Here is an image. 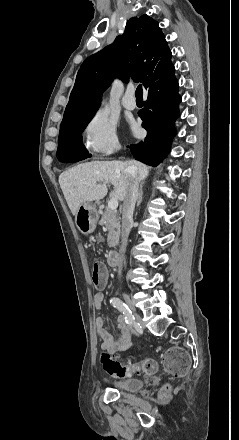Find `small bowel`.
Returning a JSON list of instances; mask_svg holds the SVG:
<instances>
[{
    "label": "small bowel",
    "mask_w": 239,
    "mask_h": 440,
    "mask_svg": "<svg viewBox=\"0 0 239 440\" xmlns=\"http://www.w3.org/2000/svg\"><path fill=\"white\" fill-rule=\"evenodd\" d=\"M103 299L104 294L102 292L95 293L94 304L97 309L101 308ZM104 324V318H96L95 326L102 349L110 354L127 350L130 347V331L124 315L117 317V326L119 328V336L117 338H114L106 331Z\"/></svg>",
    "instance_id": "1"
}]
</instances>
